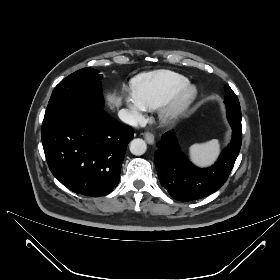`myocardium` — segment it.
Segmentation results:
<instances>
[{"mask_svg":"<svg viewBox=\"0 0 280 280\" xmlns=\"http://www.w3.org/2000/svg\"><path fill=\"white\" fill-rule=\"evenodd\" d=\"M198 90L194 84H186L176 91L159 108V119L168 125L182 118L197 98Z\"/></svg>","mask_w":280,"mask_h":280,"instance_id":"1","label":"myocardium"}]
</instances>
